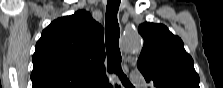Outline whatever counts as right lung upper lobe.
<instances>
[{"instance_id": "obj_1", "label": "right lung upper lobe", "mask_w": 223, "mask_h": 88, "mask_svg": "<svg viewBox=\"0 0 223 88\" xmlns=\"http://www.w3.org/2000/svg\"><path fill=\"white\" fill-rule=\"evenodd\" d=\"M33 88H100L106 82L104 31L80 10L43 30L33 55Z\"/></svg>"}]
</instances>
